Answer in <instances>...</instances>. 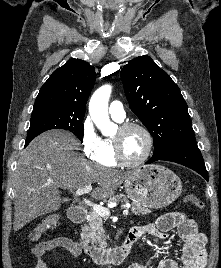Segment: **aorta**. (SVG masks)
<instances>
[{
  "instance_id": "762f6f07",
  "label": "aorta",
  "mask_w": 221,
  "mask_h": 268,
  "mask_svg": "<svg viewBox=\"0 0 221 268\" xmlns=\"http://www.w3.org/2000/svg\"><path fill=\"white\" fill-rule=\"evenodd\" d=\"M112 92L110 85H103L92 95L89 102V113L96 127L103 134L114 132L115 125L109 119L108 102Z\"/></svg>"
}]
</instances>
